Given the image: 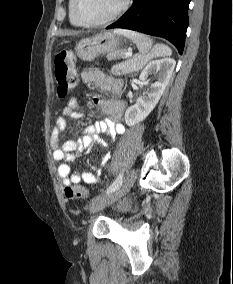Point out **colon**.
I'll return each mask as SVG.
<instances>
[{
  "label": "colon",
  "instance_id": "colon-1",
  "mask_svg": "<svg viewBox=\"0 0 233 284\" xmlns=\"http://www.w3.org/2000/svg\"><path fill=\"white\" fill-rule=\"evenodd\" d=\"M171 55V49L165 44L155 45L145 54H137L113 68V72L118 75L129 74L143 68L147 63L155 58H164ZM75 56L72 51L59 52L54 60L55 78L57 83V95L60 99L65 98L69 92L77 85L78 75L74 66ZM66 197L85 198L88 191L82 186H67L65 188Z\"/></svg>",
  "mask_w": 233,
  "mask_h": 284
}]
</instances>
